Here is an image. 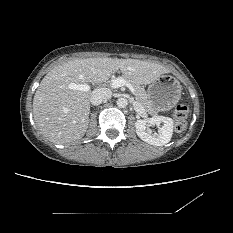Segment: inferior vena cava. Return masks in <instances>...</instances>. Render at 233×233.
Here are the masks:
<instances>
[{
	"label": "inferior vena cava",
	"instance_id": "inferior-vena-cava-1",
	"mask_svg": "<svg viewBox=\"0 0 233 233\" xmlns=\"http://www.w3.org/2000/svg\"><path fill=\"white\" fill-rule=\"evenodd\" d=\"M112 92L107 88H98L95 89L90 98V102L93 105H100L104 100L110 99Z\"/></svg>",
	"mask_w": 233,
	"mask_h": 233
}]
</instances>
